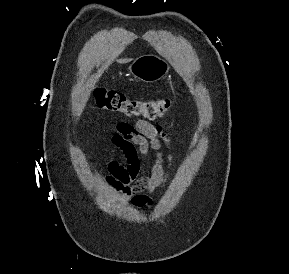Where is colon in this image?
<instances>
[{"label": "colon", "mask_w": 289, "mask_h": 274, "mask_svg": "<svg viewBox=\"0 0 289 274\" xmlns=\"http://www.w3.org/2000/svg\"><path fill=\"white\" fill-rule=\"evenodd\" d=\"M94 97L97 106L101 109L149 120L163 117L177 102V98L141 100L112 89H97Z\"/></svg>", "instance_id": "colon-1"}]
</instances>
